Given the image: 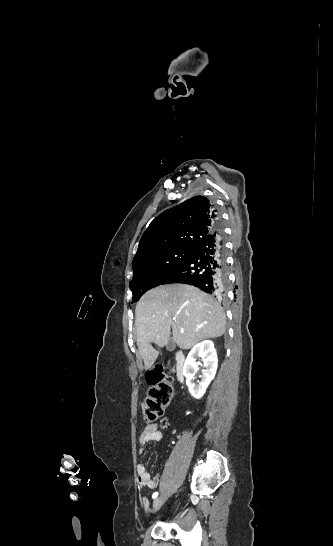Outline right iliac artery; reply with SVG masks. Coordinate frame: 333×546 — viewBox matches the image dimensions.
Returning <instances> with one entry per match:
<instances>
[{"label":"right iliac artery","mask_w":333,"mask_h":546,"mask_svg":"<svg viewBox=\"0 0 333 546\" xmlns=\"http://www.w3.org/2000/svg\"><path fill=\"white\" fill-rule=\"evenodd\" d=\"M157 496H158V492H155V493L152 495V498L155 499Z\"/></svg>","instance_id":"right-iliac-artery-1"}]
</instances>
